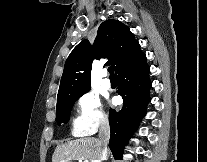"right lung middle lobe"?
Listing matches in <instances>:
<instances>
[{"label": "right lung middle lobe", "instance_id": "obj_1", "mask_svg": "<svg viewBox=\"0 0 207 162\" xmlns=\"http://www.w3.org/2000/svg\"><path fill=\"white\" fill-rule=\"evenodd\" d=\"M82 95L83 94L77 96H67V97L59 98L57 100L56 121L59 125L63 122L64 123L68 122L70 117V112L75 101Z\"/></svg>", "mask_w": 207, "mask_h": 162}]
</instances>
